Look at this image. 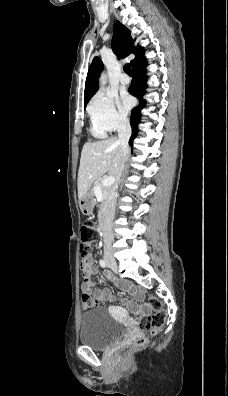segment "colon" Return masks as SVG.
<instances>
[{
	"label": "colon",
	"instance_id": "5ec220e1",
	"mask_svg": "<svg viewBox=\"0 0 228 396\" xmlns=\"http://www.w3.org/2000/svg\"><path fill=\"white\" fill-rule=\"evenodd\" d=\"M91 226L89 223H84L80 228L81 245L80 252L82 261L90 256V246L88 243V237ZM82 308L84 310L94 309L98 306L97 300L89 294L82 295ZM151 305L153 313L150 315H144L139 319L138 326L142 332H149L156 334L159 329L163 326L165 321V313L162 308L161 302L156 298H151ZM147 337H139L133 343L134 348H140L146 345Z\"/></svg>",
	"mask_w": 228,
	"mask_h": 396
}]
</instances>
